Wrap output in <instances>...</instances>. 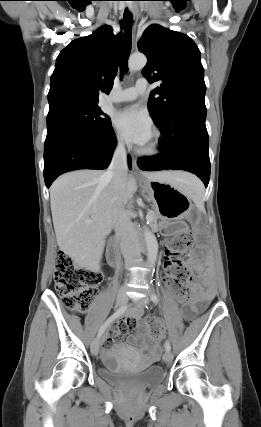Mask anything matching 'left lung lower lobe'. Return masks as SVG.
<instances>
[{
  "label": "left lung lower lobe",
  "mask_w": 261,
  "mask_h": 427,
  "mask_svg": "<svg viewBox=\"0 0 261 427\" xmlns=\"http://www.w3.org/2000/svg\"><path fill=\"white\" fill-rule=\"evenodd\" d=\"M206 108L184 105L175 108L168 119L157 125L162 137L160 155L137 160L145 171L185 170L196 174L208 186L210 179L209 140L205 126Z\"/></svg>",
  "instance_id": "1"
}]
</instances>
